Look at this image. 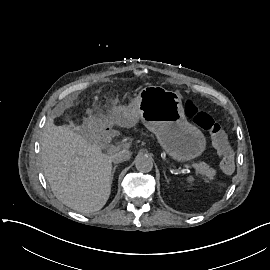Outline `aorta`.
Segmentation results:
<instances>
[{
  "mask_svg": "<svg viewBox=\"0 0 270 270\" xmlns=\"http://www.w3.org/2000/svg\"><path fill=\"white\" fill-rule=\"evenodd\" d=\"M135 166L139 172H150L153 168V161L147 155H139L135 159Z\"/></svg>",
  "mask_w": 270,
  "mask_h": 270,
  "instance_id": "aorta-1",
  "label": "aorta"
}]
</instances>
